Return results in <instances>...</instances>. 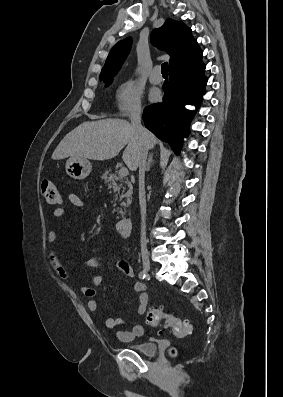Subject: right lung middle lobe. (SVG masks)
I'll return each instance as SVG.
<instances>
[{
  "mask_svg": "<svg viewBox=\"0 0 283 397\" xmlns=\"http://www.w3.org/2000/svg\"><path fill=\"white\" fill-rule=\"evenodd\" d=\"M104 82H106V86H107L112 82V79L104 80Z\"/></svg>",
  "mask_w": 283,
  "mask_h": 397,
  "instance_id": "obj_1",
  "label": "right lung middle lobe"
}]
</instances>
